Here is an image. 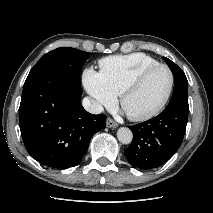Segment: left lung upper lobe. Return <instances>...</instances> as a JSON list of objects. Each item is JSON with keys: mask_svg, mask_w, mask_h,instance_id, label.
<instances>
[{"mask_svg": "<svg viewBox=\"0 0 213 213\" xmlns=\"http://www.w3.org/2000/svg\"><path fill=\"white\" fill-rule=\"evenodd\" d=\"M164 60L174 75V91L169 104L180 103L188 106V81L185 74L170 59L164 57Z\"/></svg>", "mask_w": 213, "mask_h": 213, "instance_id": "obj_1", "label": "left lung upper lobe"}]
</instances>
